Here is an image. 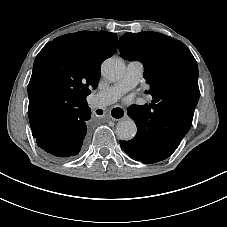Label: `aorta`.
I'll list each match as a JSON object with an SVG mask.
<instances>
[{
  "mask_svg": "<svg viewBox=\"0 0 227 227\" xmlns=\"http://www.w3.org/2000/svg\"><path fill=\"white\" fill-rule=\"evenodd\" d=\"M102 76L110 81L119 80L124 74V63L121 59L109 57L105 59L101 66ZM117 136L121 140H131L135 137L137 132L136 124L133 120L127 119L118 122L116 126Z\"/></svg>",
  "mask_w": 227,
  "mask_h": 227,
  "instance_id": "762f6f07",
  "label": "aorta"
}]
</instances>
